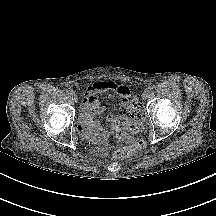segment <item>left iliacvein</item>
<instances>
[{
    "mask_svg": "<svg viewBox=\"0 0 216 216\" xmlns=\"http://www.w3.org/2000/svg\"><path fill=\"white\" fill-rule=\"evenodd\" d=\"M149 96V91H144L143 94H142V99L143 100H146Z\"/></svg>",
    "mask_w": 216,
    "mask_h": 216,
    "instance_id": "left-iliac-vein-1",
    "label": "left iliac vein"
}]
</instances>
